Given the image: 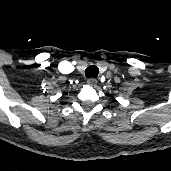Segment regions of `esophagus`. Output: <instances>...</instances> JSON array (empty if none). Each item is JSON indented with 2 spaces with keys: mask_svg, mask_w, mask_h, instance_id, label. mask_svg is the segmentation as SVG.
<instances>
[{
  "mask_svg": "<svg viewBox=\"0 0 171 171\" xmlns=\"http://www.w3.org/2000/svg\"><path fill=\"white\" fill-rule=\"evenodd\" d=\"M87 84L90 86H95L97 84V80L95 78L87 79Z\"/></svg>",
  "mask_w": 171,
  "mask_h": 171,
  "instance_id": "obj_1",
  "label": "esophagus"
}]
</instances>
